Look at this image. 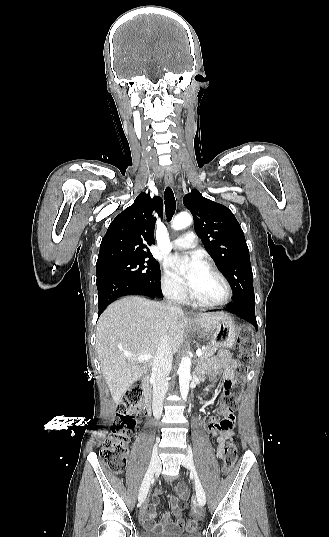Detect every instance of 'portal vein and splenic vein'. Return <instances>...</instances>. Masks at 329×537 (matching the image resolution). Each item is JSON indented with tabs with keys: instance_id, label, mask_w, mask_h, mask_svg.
I'll return each instance as SVG.
<instances>
[{
	"instance_id": "portal-vein-and-splenic-vein-1",
	"label": "portal vein and splenic vein",
	"mask_w": 329,
	"mask_h": 537,
	"mask_svg": "<svg viewBox=\"0 0 329 537\" xmlns=\"http://www.w3.org/2000/svg\"><path fill=\"white\" fill-rule=\"evenodd\" d=\"M196 355L197 357H200L202 355V350L201 349H198L196 351ZM125 356L126 357H129V358H133L139 362H142V361H147V360H150L152 358V355H140V356H137V357H133L130 353H125Z\"/></svg>"
}]
</instances>
